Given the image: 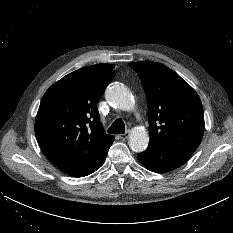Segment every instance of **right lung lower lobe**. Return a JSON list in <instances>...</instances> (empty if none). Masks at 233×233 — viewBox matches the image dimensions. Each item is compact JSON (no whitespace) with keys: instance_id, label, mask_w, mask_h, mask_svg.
<instances>
[{"instance_id":"98d812e1","label":"right lung lower lobe","mask_w":233,"mask_h":233,"mask_svg":"<svg viewBox=\"0 0 233 233\" xmlns=\"http://www.w3.org/2000/svg\"><path fill=\"white\" fill-rule=\"evenodd\" d=\"M110 146L97 159H95L94 161H92L88 165H86V166H84V167H82L74 172L68 173V174L70 176H73V177H84V176H87V175L95 172L97 169H99L103 165Z\"/></svg>"}]
</instances>
